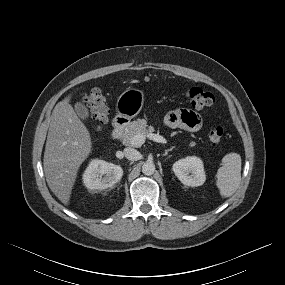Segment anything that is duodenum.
Wrapping results in <instances>:
<instances>
[{
  "instance_id": "1",
  "label": "duodenum",
  "mask_w": 285,
  "mask_h": 285,
  "mask_svg": "<svg viewBox=\"0 0 285 285\" xmlns=\"http://www.w3.org/2000/svg\"><path fill=\"white\" fill-rule=\"evenodd\" d=\"M127 121L124 118H116L113 123V127L111 130V137L113 139H118L124 132Z\"/></svg>"
}]
</instances>
